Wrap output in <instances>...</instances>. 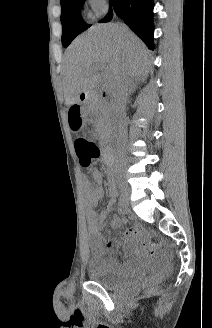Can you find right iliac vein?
I'll return each instance as SVG.
<instances>
[{"instance_id":"1","label":"right iliac vein","mask_w":212,"mask_h":328,"mask_svg":"<svg viewBox=\"0 0 212 328\" xmlns=\"http://www.w3.org/2000/svg\"><path fill=\"white\" fill-rule=\"evenodd\" d=\"M121 195L123 196V199L128 203L129 198H130V188L128 187L127 184L121 182L119 183Z\"/></svg>"}]
</instances>
